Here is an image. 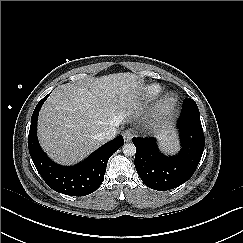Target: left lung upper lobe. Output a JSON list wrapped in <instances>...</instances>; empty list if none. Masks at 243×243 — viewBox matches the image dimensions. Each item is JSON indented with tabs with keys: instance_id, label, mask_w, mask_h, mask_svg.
Wrapping results in <instances>:
<instances>
[{
	"instance_id": "left-lung-upper-lobe-1",
	"label": "left lung upper lobe",
	"mask_w": 243,
	"mask_h": 243,
	"mask_svg": "<svg viewBox=\"0 0 243 243\" xmlns=\"http://www.w3.org/2000/svg\"><path fill=\"white\" fill-rule=\"evenodd\" d=\"M184 103L185 104H190V105H196V103H195V101L193 100V99H186L185 101H184Z\"/></svg>"
}]
</instances>
